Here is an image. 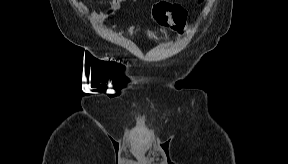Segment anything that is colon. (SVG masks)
Segmentation results:
<instances>
[{
	"label": "colon",
	"mask_w": 288,
	"mask_h": 164,
	"mask_svg": "<svg viewBox=\"0 0 288 164\" xmlns=\"http://www.w3.org/2000/svg\"><path fill=\"white\" fill-rule=\"evenodd\" d=\"M152 17L159 26L180 34L186 32L191 26L185 10L174 3H158L153 9Z\"/></svg>",
	"instance_id": "colon-1"
}]
</instances>
